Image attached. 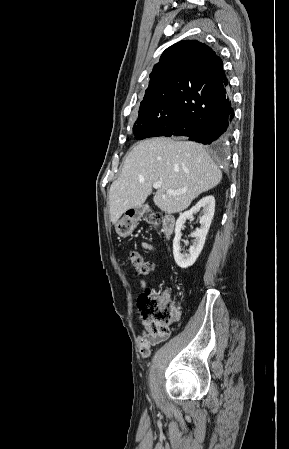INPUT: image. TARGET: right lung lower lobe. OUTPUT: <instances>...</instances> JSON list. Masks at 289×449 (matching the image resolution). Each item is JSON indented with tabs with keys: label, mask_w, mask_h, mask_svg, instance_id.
<instances>
[{
	"label": "right lung lower lobe",
	"mask_w": 289,
	"mask_h": 449,
	"mask_svg": "<svg viewBox=\"0 0 289 449\" xmlns=\"http://www.w3.org/2000/svg\"><path fill=\"white\" fill-rule=\"evenodd\" d=\"M176 118L153 134L187 136L190 140L221 147L230 135L234 117L231 93L223 68L207 81H179L174 89Z\"/></svg>",
	"instance_id": "obj_1"
}]
</instances>
